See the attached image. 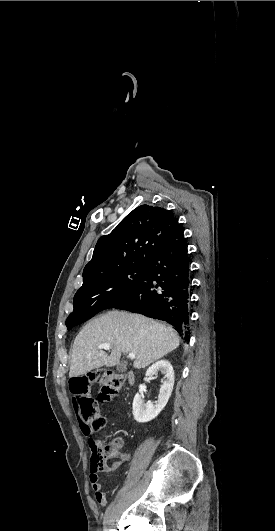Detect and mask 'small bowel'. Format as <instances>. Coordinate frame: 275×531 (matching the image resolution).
<instances>
[{"label": "small bowel", "mask_w": 275, "mask_h": 531, "mask_svg": "<svg viewBox=\"0 0 275 531\" xmlns=\"http://www.w3.org/2000/svg\"><path fill=\"white\" fill-rule=\"evenodd\" d=\"M74 400L76 401L77 399L75 398ZM76 406L78 407L79 405L77 404ZM83 433L88 437V442H89L91 449L94 446L99 445V441L90 436L89 428L84 427ZM117 443L119 444V442ZM120 458L123 462H127L129 460V455L127 453H122L120 455ZM113 470H116V469H112L111 471ZM90 483L94 490V497H95L96 504L99 507H102V508L105 507L108 503L109 496H111L114 493L115 489L105 490L103 488V485L99 482V475L94 476L91 474Z\"/></svg>", "instance_id": "c3829d8e"}]
</instances>
